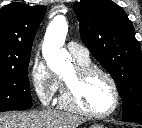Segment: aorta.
I'll return each mask as SVG.
<instances>
[{
    "label": "aorta",
    "mask_w": 142,
    "mask_h": 128,
    "mask_svg": "<svg viewBox=\"0 0 142 128\" xmlns=\"http://www.w3.org/2000/svg\"><path fill=\"white\" fill-rule=\"evenodd\" d=\"M67 32L66 18L60 15L51 21L45 33L42 51L49 68L55 73H61L72 66L70 54L62 48Z\"/></svg>",
    "instance_id": "762f6f07"
}]
</instances>
